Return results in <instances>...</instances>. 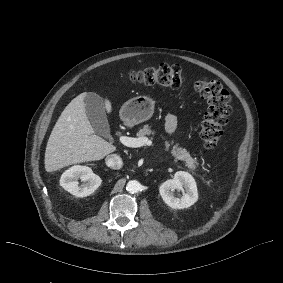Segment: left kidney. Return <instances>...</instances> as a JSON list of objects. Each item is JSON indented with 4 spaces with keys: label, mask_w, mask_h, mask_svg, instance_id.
Returning a JSON list of instances; mask_svg holds the SVG:
<instances>
[{
    "label": "left kidney",
    "mask_w": 283,
    "mask_h": 283,
    "mask_svg": "<svg viewBox=\"0 0 283 283\" xmlns=\"http://www.w3.org/2000/svg\"><path fill=\"white\" fill-rule=\"evenodd\" d=\"M175 190L182 191L183 195L181 197L175 196ZM159 192L163 201L174 209L188 208L198 200L195 179L185 171L176 172L173 179L162 183Z\"/></svg>",
    "instance_id": "obj_1"
}]
</instances>
